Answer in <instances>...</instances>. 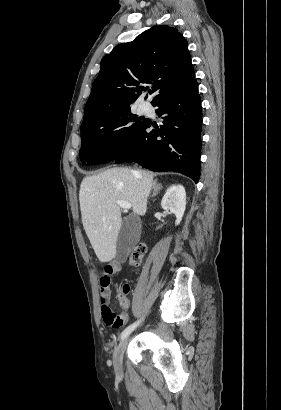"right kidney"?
<instances>
[{
	"mask_svg": "<svg viewBox=\"0 0 281 410\" xmlns=\"http://www.w3.org/2000/svg\"><path fill=\"white\" fill-rule=\"evenodd\" d=\"M161 206L175 214V225H179L186 208V192L182 185L170 186L162 198Z\"/></svg>",
	"mask_w": 281,
	"mask_h": 410,
	"instance_id": "1",
	"label": "right kidney"
}]
</instances>
